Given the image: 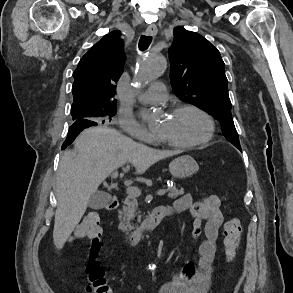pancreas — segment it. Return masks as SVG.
<instances>
[{
    "label": "pancreas",
    "instance_id": "cf45deb5",
    "mask_svg": "<svg viewBox=\"0 0 293 293\" xmlns=\"http://www.w3.org/2000/svg\"><path fill=\"white\" fill-rule=\"evenodd\" d=\"M166 191L168 192L167 196L171 199H175L179 195L184 194V189H178L176 186L168 187ZM120 214H122V222L120 224V227L123 231L129 232L131 230H135L136 233L140 232L138 225H133L131 223V221L134 220L135 217L138 218V223L141 219V216L138 215V202L135 196L128 195L126 197L123 210Z\"/></svg>",
    "mask_w": 293,
    "mask_h": 293
}]
</instances>
